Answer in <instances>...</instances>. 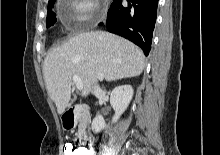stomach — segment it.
<instances>
[{"label": "stomach", "mask_w": 220, "mask_h": 155, "mask_svg": "<svg viewBox=\"0 0 220 155\" xmlns=\"http://www.w3.org/2000/svg\"><path fill=\"white\" fill-rule=\"evenodd\" d=\"M63 127H64V129H66V130H70V129H71L70 126H63Z\"/></svg>", "instance_id": "obj_1"}]
</instances>
